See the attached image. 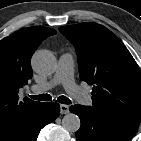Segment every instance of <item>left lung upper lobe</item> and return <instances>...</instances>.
<instances>
[{"mask_svg":"<svg viewBox=\"0 0 141 141\" xmlns=\"http://www.w3.org/2000/svg\"><path fill=\"white\" fill-rule=\"evenodd\" d=\"M59 30L77 50L80 78L93 85L92 107L139 124L141 73L125 45L106 27L94 22Z\"/></svg>","mask_w":141,"mask_h":141,"instance_id":"obj_1","label":"left lung upper lobe"}]
</instances>
